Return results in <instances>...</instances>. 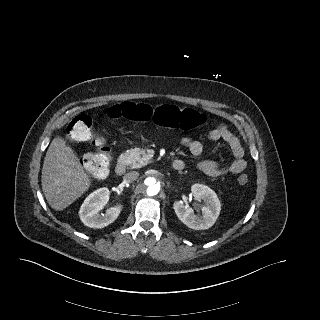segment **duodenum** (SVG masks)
<instances>
[{
    "label": "duodenum",
    "instance_id": "410a0bca",
    "mask_svg": "<svg viewBox=\"0 0 320 320\" xmlns=\"http://www.w3.org/2000/svg\"><path fill=\"white\" fill-rule=\"evenodd\" d=\"M185 167L184 162L181 160H174L171 163V168L174 171H181ZM115 171L118 175H123L126 172V164L124 161H119L115 167Z\"/></svg>",
    "mask_w": 320,
    "mask_h": 320
}]
</instances>
